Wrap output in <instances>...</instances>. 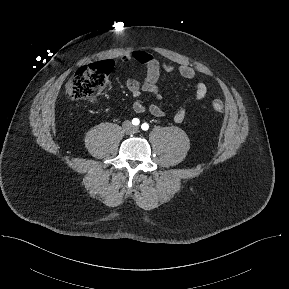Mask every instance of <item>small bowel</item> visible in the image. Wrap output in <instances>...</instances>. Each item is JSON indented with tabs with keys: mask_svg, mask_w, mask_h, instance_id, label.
<instances>
[{
	"mask_svg": "<svg viewBox=\"0 0 289 289\" xmlns=\"http://www.w3.org/2000/svg\"><path fill=\"white\" fill-rule=\"evenodd\" d=\"M122 63L128 64V70L134 69L137 65L146 67V76L143 80L126 79L124 84L134 97L133 110L137 114H141L146 110L144 101L141 99L142 92L151 94L156 100H163V96L158 88V81L161 72L178 73L186 80H194L196 72L189 66H176L166 62H161L154 55L144 51H133L125 53L120 58ZM195 93L192 98L194 105H199L208 93L207 85L202 81L194 82ZM149 112L155 117H164L165 111L156 103L149 106ZM189 108L187 106L180 107L174 114L173 120L176 123H181L185 120Z\"/></svg>",
	"mask_w": 289,
	"mask_h": 289,
	"instance_id": "small-bowel-1",
	"label": "small bowel"
}]
</instances>
